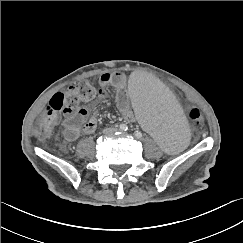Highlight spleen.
Masks as SVG:
<instances>
[{
    "label": "spleen",
    "instance_id": "1",
    "mask_svg": "<svg viewBox=\"0 0 243 243\" xmlns=\"http://www.w3.org/2000/svg\"><path fill=\"white\" fill-rule=\"evenodd\" d=\"M126 91L137 127L163 152L176 153L189 142L191 128L177 96L153 73L129 76Z\"/></svg>",
    "mask_w": 243,
    "mask_h": 243
}]
</instances>
